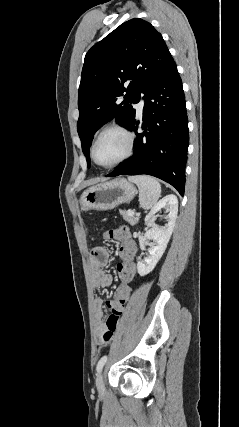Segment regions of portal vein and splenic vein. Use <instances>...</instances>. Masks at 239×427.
I'll list each match as a JSON object with an SVG mask.
<instances>
[{
    "instance_id": "18ae733b",
    "label": "portal vein and splenic vein",
    "mask_w": 239,
    "mask_h": 427,
    "mask_svg": "<svg viewBox=\"0 0 239 427\" xmlns=\"http://www.w3.org/2000/svg\"><path fill=\"white\" fill-rule=\"evenodd\" d=\"M129 215H134V212L132 210H128Z\"/></svg>"
}]
</instances>
